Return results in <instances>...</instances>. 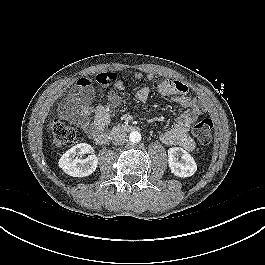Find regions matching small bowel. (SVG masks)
I'll return each instance as SVG.
<instances>
[{
  "mask_svg": "<svg viewBox=\"0 0 265 265\" xmlns=\"http://www.w3.org/2000/svg\"><path fill=\"white\" fill-rule=\"evenodd\" d=\"M144 75L136 72L134 78L141 80ZM145 79L153 82V74H147ZM101 84H113L114 87L122 91L125 84L116 74H109L99 79ZM158 92L166 97H170L175 103L185 110L179 115L176 122L164 130L160 138L168 145H179L187 151H193L195 143L188 135L191 124L204 113V105L196 98L187 94V87L179 81L164 80L157 86ZM150 96L149 87H141L136 92L137 100L143 102ZM93 87L89 77H82L77 80L67 97L60 104L61 114L71 123L82 128L87 135L93 136L95 133L104 130L110 122V111L118 105L119 97L111 91L105 104L96 107L92 106Z\"/></svg>",
  "mask_w": 265,
  "mask_h": 265,
  "instance_id": "c3829d8e",
  "label": "small bowel"
}]
</instances>
